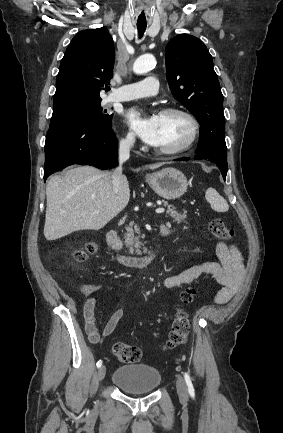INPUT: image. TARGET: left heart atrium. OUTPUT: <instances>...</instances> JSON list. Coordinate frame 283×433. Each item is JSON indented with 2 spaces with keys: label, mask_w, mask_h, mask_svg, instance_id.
<instances>
[{
  "label": "left heart atrium",
  "mask_w": 283,
  "mask_h": 433,
  "mask_svg": "<svg viewBox=\"0 0 283 433\" xmlns=\"http://www.w3.org/2000/svg\"><path fill=\"white\" fill-rule=\"evenodd\" d=\"M126 124L151 150H159L162 141L160 115L145 116L140 108H131L124 115Z\"/></svg>",
  "instance_id": "1"
}]
</instances>
